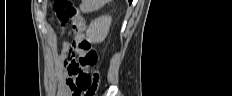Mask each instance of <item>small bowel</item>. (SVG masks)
Segmentation results:
<instances>
[{
	"instance_id": "1",
	"label": "small bowel",
	"mask_w": 232,
	"mask_h": 96,
	"mask_svg": "<svg viewBox=\"0 0 232 96\" xmlns=\"http://www.w3.org/2000/svg\"><path fill=\"white\" fill-rule=\"evenodd\" d=\"M69 58H68V48H64V52L60 56L59 65L62 68L68 67L69 64ZM75 79L76 77L72 74H70L68 71H66L65 75H61L59 78V85H58V96H75L74 90H75Z\"/></svg>"
}]
</instances>
